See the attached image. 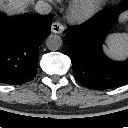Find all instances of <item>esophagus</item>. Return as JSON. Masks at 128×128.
Here are the masks:
<instances>
[{
    "mask_svg": "<svg viewBox=\"0 0 128 128\" xmlns=\"http://www.w3.org/2000/svg\"><path fill=\"white\" fill-rule=\"evenodd\" d=\"M64 29H65V27L62 23H60L58 21L52 23L51 30L53 33L61 34V33H63Z\"/></svg>",
    "mask_w": 128,
    "mask_h": 128,
    "instance_id": "esophagus-1",
    "label": "esophagus"
}]
</instances>
